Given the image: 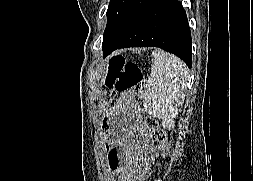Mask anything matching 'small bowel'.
Listing matches in <instances>:
<instances>
[{
  "instance_id": "small-bowel-1",
  "label": "small bowel",
  "mask_w": 253,
  "mask_h": 181,
  "mask_svg": "<svg viewBox=\"0 0 253 181\" xmlns=\"http://www.w3.org/2000/svg\"><path fill=\"white\" fill-rule=\"evenodd\" d=\"M131 100L130 93H123L112 110L110 135L105 147L106 161L119 181H144L158 151L144 130H135L137 137L131 138L121 129V115L128 110Z\"/></svg>"
}]
</instances>
